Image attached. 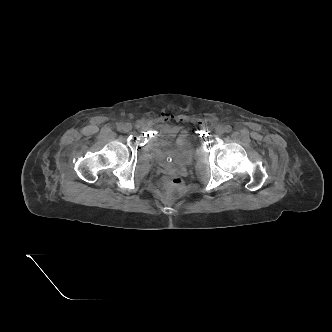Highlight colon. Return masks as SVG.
<instances>
[{
	"mask_svg": "<svg viewBox=\"0 0 332 332\" xmlns=\"http://www.w3.org/2000/svg\"><path fill=\"white\" fill-rule=\"evenodd\" d=\"M162 188L168 194H175L180 192L184 187V181L180 177L176 176H165L162 179Z\"/></svg>",
	"mask_w": 332,
	"mask_h": 332,
	"instance_id": "1",
	"label": "colon"
}]
</instances>
